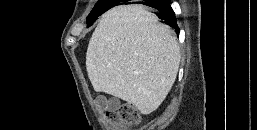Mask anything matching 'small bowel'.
<instances>
[{"label": "small bowel", "mask_w": 257, "mask_h": 130, "mask_svg": "<svg viewBox=\"0 0 257 130\" xmlns=\"http://www.w3.org/2000/svg\"><path fill=\"white\" fill-rule=\"evenodd\" d=\"M98 104L101 107H105L107 109H112L116 106V102L113 100L106 99L105 97H100L98 99Z\"/></svg>", "instance_id": "c3829d8e"}]
</instances>
